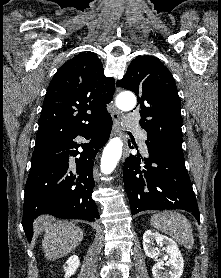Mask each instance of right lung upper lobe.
<instances>
[{
    "mask_svg": "<svg viewBox=\"0 0 221 278\" xmlns=\"http://www.w3.org/2000/svg\"><path fill=\"white\" fill-rule=\"evenodd\" d=\"M114 89V79L104 75L95 53H80L68 60L48 86L35 149L110 116L106 105Z\"/></svg>",
    "mask_w": 221,
    "mask_h": 278,
    "instance_id": "obj_1",
    "label": "right lung upper lobe"
}]
</instances>
